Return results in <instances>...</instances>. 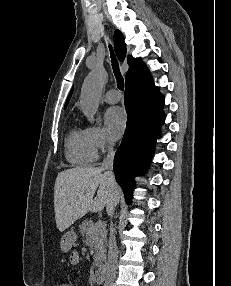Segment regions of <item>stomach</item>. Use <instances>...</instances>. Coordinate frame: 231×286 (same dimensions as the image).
I'll use <instances>...</instances> for the list:
<instances>
[{
  "label": "stomach",
  "instance_id": "1",
  "mask_svg": "<svg viewBox=\"0 0 231 286\" xmlns=\"http://www.w3.org/2000/svg\"><path fill=\"white\" fill-rule=\"evenodd\" d=\"M76 240L77 235L74 231H68L64 233L60 242L61 251L68 252L72 248V245L76 242Z\"/></svg>",
  "mask_w": 231,
  "mask_h": 286
}]
</instances>
